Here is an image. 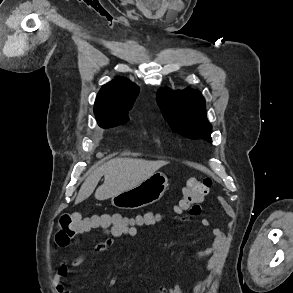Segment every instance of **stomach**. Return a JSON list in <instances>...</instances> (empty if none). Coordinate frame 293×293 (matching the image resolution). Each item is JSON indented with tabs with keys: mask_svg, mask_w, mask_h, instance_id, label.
<instances>
[{
	"mask_svg": "<svg viewBox=\"0 0 293 293\" xmlns=\"http://www.w3.org/2000/svg\"><path fill=\"white\" fill-rule=\"evenodd\" d=\"M168 187V178L157 172L139 185L112 197V205L119 209L134 210L160 200Z\"/></svg>",
	"mask_w": 293,
	"mask_h": 293,
	"instance_id": "stomach-1",
	"label": "stomach"
}]
</instances>
